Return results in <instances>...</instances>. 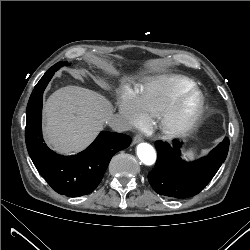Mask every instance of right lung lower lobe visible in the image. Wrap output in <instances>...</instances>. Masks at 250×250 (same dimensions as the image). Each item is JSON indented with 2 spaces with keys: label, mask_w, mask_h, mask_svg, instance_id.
Here are the masks:
<instances>
[{
  "label": "right lung lower lobe",
  "mask_w": 250,
  "mask_h": 250,
  "mask_svg": "<svg viewBox=\"0 0 250 250\" xmlns=\"http://www.w3.org/2000/svg\"><path fill=\"white\" fill-rule=\"evenodd\" d=\"M58 69L52 66L35 86L26 111L25 139L28 153L40 175L59 194L78 197L91 193L100 183L115 153L127 148L131 138L125 134L102 131L84 151L62 156L44 143L41 130L42 97Z\"/></svg>",
  "instance_id": "98d812e1"
}]
</instances>
